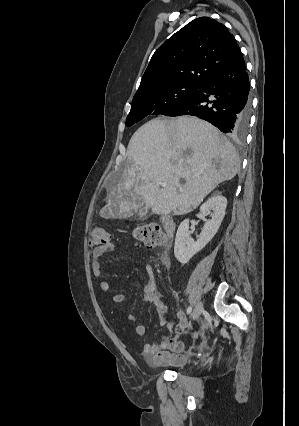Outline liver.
I'll return each instance as SVG.
<instances>
[{"label":"liver","instance_id":"6515ba94","mask_svg":"<svg viewBox=\"0 0 299 426\" xmlns=\"http://www.w3.org/2000/svg\"><path fill=\"white\" fill-rule=\"evenodd\" d=\"M239 168L235 147L210 123L191 116L153 119L131 137L128 165L100 215L124 218L143 204L158 215L187 214Z\"/></svg>","mask_w":299,"mask_h":426}]
</instances>
